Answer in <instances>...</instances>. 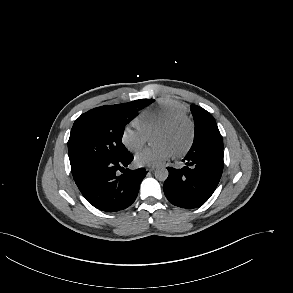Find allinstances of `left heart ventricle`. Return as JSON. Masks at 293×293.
<instances>
[{"label":"left heart ventricle","instance_id":"b2bd125f","mask_svg":"<svg viewBox=\"0 0 293 293\" xmlns=\"http://www.w3.org/2000/svg\"><path fill=\"white\" fill-rule=\"evenodd\" d=\"M189 139V127L187 124H180L171 130H157L154 133L155 143H166L173 153L181 150Z\"/></svg>","mask_w":293,"mask_h":293}]
</instances>
